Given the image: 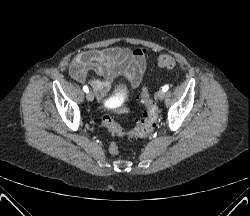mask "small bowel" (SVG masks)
I'll return each mask as SVG.
<instances>
[{"mask_svg":"<svg viewBox=\"0 0 250 216\" xmlns=\"http://www.w3.org/2000/svg\"><path fill=\"white\" fill-rule=\"evenodd\" d=\"M148 62V51L145 48L130 50L123 47L86 50L77 54L69 67L71 77L84 83L89 72L104 78L90 79L89 85L98 99H103L111 89V83L124 78L131 88L139 85Z\"/></svg>","mask_w":250,"mask_h":216,"instance_id":"small-bowel-1","label":"small bowel"}]
</instances>
